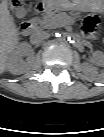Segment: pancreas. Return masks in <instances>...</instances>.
I'll list each match as a JSON object with an SVG mask.
<instances>
[{
    "label": "pancreas",
    "mask_w": 104,
    "mask_h": 137,
    "mask_svg": "<svg viewBox=\"0 0 104 137\" xmlns=\"http://www.w3.org/2000/svg\"><path fill=\"white\" fill-rule=\"evenodd\" d=\"M67 16L65 13L55 14L53 12L46 14L42 19H38V23L43 28H57L66 24ZM35 21V19H34Z\"/></svg>",
    "instance_id": "pancreas-1"
}]
</instances>
